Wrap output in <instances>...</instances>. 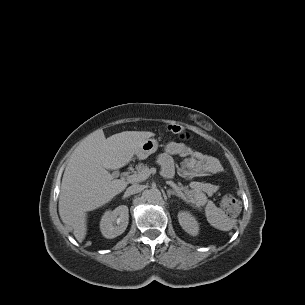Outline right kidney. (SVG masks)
Here are the masks:
<instances>
[{
  "instance_id": "right-kidney-1",
  "label": "right kidney",
  "mask_w": 305,
  "mask_h": 305,
  "mask_svg": "<svg viewBox=\"0 0 305 305\" xmlns=\"http://www.w3.org/2000/svg\"><path fill=\"white\" fill-rule=\"evenodd\" d=\"M129 221L128 207L121 205L104 213L100 221V231L105 238L112 239L121 235Z\"/></svg>"
}]
</instances>
